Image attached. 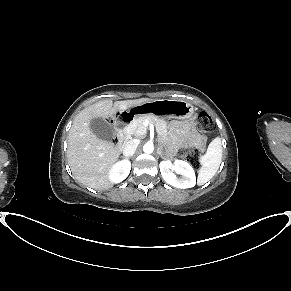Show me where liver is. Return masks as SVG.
Masks as SVG:
<instances>
[{
	"instance_id": "1",
	"label": "liver",
	"mask_w": 291,
	"mask_h": 291,
	"mask_svg": "<svg viewBox=\"0 0 291 291\" xmlns=\"http://www.w3.org/2000/svg\"><path fill=\"white\" fill-rule=\"evenodd\" d=\"M151 101L148 98L116 101L103 100L95 103L75 118L68 134L67 158L74 178L96 190H108L113 183L109 170L118 160L120 151L111 142L99 139L90 129L93 118H114L117 112Z\"/></svg>"
}]
</instances>
